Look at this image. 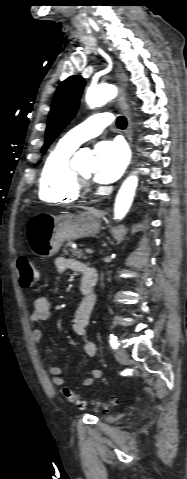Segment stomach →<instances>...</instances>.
<instances>
[{"instance_id": "0dacf381", "label": "stomach", "mask_w": 187, "mask_h": 479, "mask_svg": "<svg viewBox=\"0 0 187 479\" xmlns=\"http://www.w3.org/2000/svg\"><path fill=\"white\" fill-rule=\"evenodd\" d=\"M100 217L101 213L92 208L78 215L38 213L26 227L28 244L34 254L51 257L59 251L65 240L97 234L101 227Z\"/></svg>"}]
</instances>
